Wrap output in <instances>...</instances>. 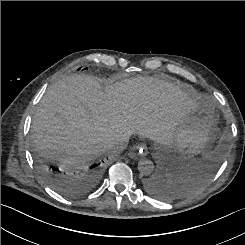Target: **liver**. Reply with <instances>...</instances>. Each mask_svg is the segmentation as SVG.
<instances>
[{"label": "liver", "mask_w": 245, "mask_h": 245, "mask_svg": "<svg viewBox=\"0 0 245 245\" xmlns=\"http://www.w3.org/2000/svg\"><path fill=\"white\" fill-rule=\"evenodd\" d=\"M200 99L153 77L125 79L102 90L93 77L69 75L39 102L32 140L41 156L64 166L84 163L133 134L170 145L176 125Z\"/></svg>", "instance_id": "obj_1"}]
</instances>
